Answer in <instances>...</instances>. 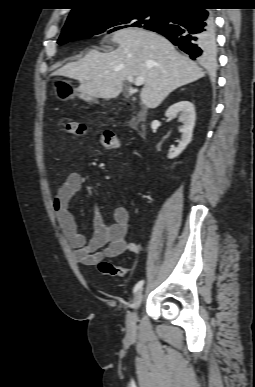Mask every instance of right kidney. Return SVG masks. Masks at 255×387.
Segmentation results:
<instances>
[{
    "label": "right kidney",
    "instance_id": "1",
    "mask_svg": "<svg viewBox=\"0 0 255 387\" xmlns=\"http://www.w3.org/2000/svg\"><path fill=\"white\" fill-rule=\"evenodd\" d=\"M179 115V120L182 122L181 128V141L179 145L174 149L172 153L169 154L168 158L173 159L180 155L182 151L190 143L193 133V128L195 125V109L194 105L189 101H180L168 108L165 115L170 118L175 115Z\"/></svg>",
    "mask_w": 255,
    "mask_h": 387
}]
</instances>
